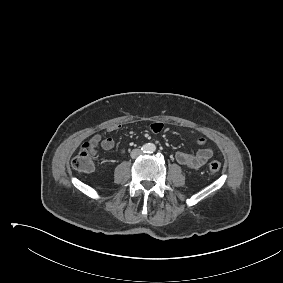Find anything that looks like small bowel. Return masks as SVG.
Wrapping results in <instances>:
<instances>
[{"mask_svg": "<svg viewBox=\"0 0 283 283\" xmlns=\"http://www.w3.org/2000/svg\"><path fill=\"white\" fill-rule=\"evenodd\" d=\"M162 128L163 125L160 122H155L151 125V130L153 132H159L162 130ZM118 129V126H113L108 128L105 132L117 131ZM105 132L96 134L89 140L93 148V153L98 146L106 151L114 148L115 140L111 137H105ZM198 144L202 146V148L197 150L195 153H187L181 151L177 152L175 155L176 161L179 164L194 171L201 169L205 165V163L212 157L213 151L209 146H206V141L203 138H200L198 140ZM122 151H124V148H122Z\"/></svg>", "mask_w": 283, "mask_h": 283, "instance_id": "small-bowel-1", "label": "small bowel"}]
</instances>
